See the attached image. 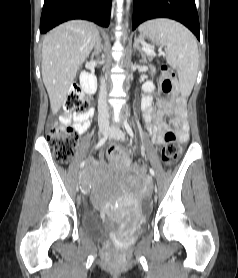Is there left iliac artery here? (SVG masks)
<instances>
[{"label": "left iliac artery", "mask_w": 238, "mask_h": 278, "mask_svg": "<svg viewBox=\"0 0 238 278\" xmlns=\"http://www.w3.org/2000/svg\"><path fill=\"white\" fill-rule=\"evenodd\" d=\"M124 126H125V129H126L127 133L133 138L134 137V133H133L130 125L128 124L127 120H124ZM149 171H150V174L152 176H155V172H154V170L152 168H150Z\"/></svg>", "instance_id": "44dca946"}]
</instances>
